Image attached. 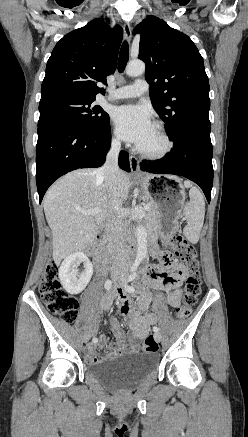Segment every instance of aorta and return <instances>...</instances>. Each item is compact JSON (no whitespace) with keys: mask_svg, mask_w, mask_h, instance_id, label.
<instances>
[{"mask_svg":"<svg viewBox=\"0 0 248 437\" xmlns=\"http://www.w3.org/2000/svg\"><path fill=\"white\" fill-rule=\"evenodd\" d=\"M145 71V64L142 61H131L126 67V74L131 77L142 75ZM137 237V259L142 260L147 257L148 241L147 232L143 225L136 226Z\"/></svg>","mask_w":248,"mask_h":437,"instance_id":"762f6f07","label":"aorta"}]
</instances>
